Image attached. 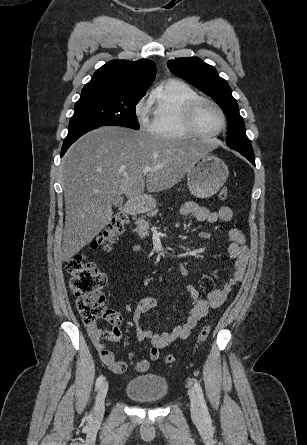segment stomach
I'll list each match as a JSON object with an SVG mask.
<instances>
[{"instance_id":"obj_1","label":"stomach","mask_w":307,"mask_h":445,"mask_svg":"<svg viewBox=\"0 0 307 445\" xmlns=\"http://www.w3.org/2000/svg\"><path fill=\"white\" fill-rule=\"evenodd\" d=\"M229 174L228 166L224 160L216 154L207 152L201 154L195 162H192L187 170V186L197 198H209L216 194L227 180ZM155 198L151 200L150 206L155 208Z\"/></svg>"}]
</instances>
